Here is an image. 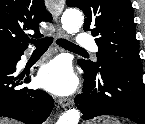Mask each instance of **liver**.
<instances>
[{"mask_svg": "<svg viewBox=\"0 0 145 124\" xmlns=\"http://www.w3.org/2000/svg\"><path fill=\"white\" fill-rule=\"evenodd\" d=\"M0 124H12V123H10V122L8 123V122L1 121V120H0Z\"/></svg>", "mask_w": 145, "mask_h": 124, "instance_id": "6515ba94", "label": "liver"}]
</instances>
